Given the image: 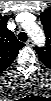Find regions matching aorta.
<instances>
[{"instance_id":"1","label":"aorta","mask_w":51,"mask_h":101,"mask_svg":"<svg viewBox=\"0 0 51 101\" xmlns=\"http://www.w3.org/2000/svg\"><path fill=\"white\" fill-rule=\"evenodd\" d=\"M26 30L36 44H38L39 46L44 45L45 36L40 27H38L36 24H31L27 26Z\"/></svg>"}]
</instances>
